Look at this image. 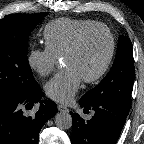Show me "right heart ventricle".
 Here are the masks:
<instances>
[{
  "mask_svg": "<svg viewBox=\"0 0 144 144\" xmlns=\"http://www.w3.org/2000/svg\"><path fill=\"white\" fill-rule=\"evenodd\" d=\"M96 23L98 22L89 19H56L48 23L43 30L45 46L61 57L82 29Z\"/></svg>",
  "mask_w": 144,
  "mask_h": 144,
  "instance_id": "1",
  "label": "right heart ventricle"
}]
</instances>
